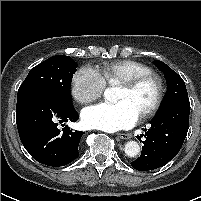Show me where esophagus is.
Masks as SVG:
<instances>
[{"mask_svg":"<svg viewBox=\"0 0 201 201\" xmlns=\"http://www.w3.org/2000/svg\"><path fill=\"white\" fill-rule=\"evenodd\" d=\"M117 137L120 138V139H130L131 138V135L130 134H125V133H119L117 134Z\"/></svg>","mask_w":201,"mask_h":201,"instance_id":"esophagus-1","label":"esophagus"}]
</instances>
